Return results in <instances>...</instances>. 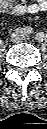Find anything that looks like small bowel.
Returning a JSON list of instances; mask_svg holds the SVG:
<instances>
[{
	"label": "small bowel",
	"instance_id": "obj_1",
	"mask_svg": "<svg viewBox=\"0 0 47 129\" xmlns=\"http://www.w3.org/2000/svg\"><path fill=\"white\" fill-rule=\"evenodd\" d=\"M0 7L5 14H35L47 10V0H34L33 2L19 0L17 3H14V0H1Z\"/></svg>",
	"mask_w": 47,
	"mask_h": 129
}]
</instances>
